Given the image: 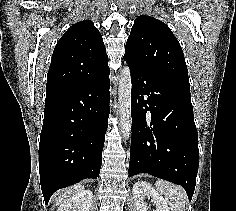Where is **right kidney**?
Masks as SVG:
<instances>
[{
  "label": "right kidney",
  "instance_id": "obj_1",
  "mask_svg": "<svg viewBox=\"0 0 236 211\" xmlns=\"http://www.w3.org/2000/svg\"><path fill=\"white\" fill-rule=\"evenodd\" d=\"M93 193L90 190H83L68 198L58 211H89L92 203Z\"/></svg>",
  "mask_w": 236,
  "mask_h": 211
}]
</instances>
